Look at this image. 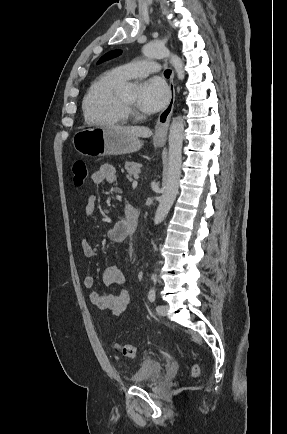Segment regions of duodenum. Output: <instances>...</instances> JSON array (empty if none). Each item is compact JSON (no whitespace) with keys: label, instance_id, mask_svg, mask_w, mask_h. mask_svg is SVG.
Here are the masks:
<instances>
[{"label":"duodenum","instance_id":"410a0bca","mask_svg":"<svg viewBox=\"0 0 287 434\" xmlns=\"http://www.w3.org/2000/svg\"><path fill=\"white\" fill-rule=\"evenodd\" d=\"M126 215H127V220H126L127 231L129 233V235H131L136 231V229L138 227L139 212L133 206L128 205V208L126 210Z\"/></svg>","mask_w":287,"mask_h":434}]
</instances>
